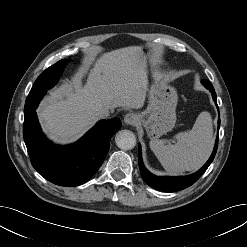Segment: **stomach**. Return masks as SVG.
Here are the masks:
<instances>
[{
    "mask_svg": "<svg viewBox=\"0 0 247 247\" xmlns=\"http://www.w3.org/2000/svg\"><path fill=\"white\" fill-rule=\"evenodd\" d=\"M140 49L144 55L148 54L147 48ZM177 102L176 89L159 75L154 74L149 90V104L139 114L140 123L144 126L151 139H157L172 130L176 122Z\"/></svg>",
    "mask_w": 247,
    "mask_h": 247,
    "instance_id": "0dacf381",
    "label": "stomach"
}]
</instances>
